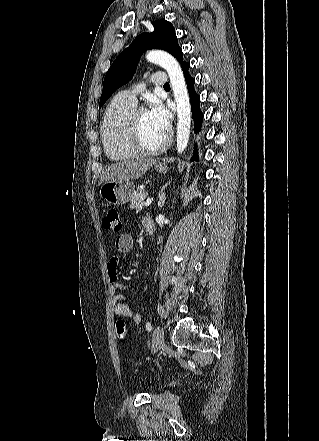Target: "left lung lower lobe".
I'll return each instance as SVG.
<instances>
[{
  "label": "left lung lower lobe",
  "instance_id": "0a47b994",
  "mask_svg": "<svg viewBox=\"0 0 319 441\" xmlns=\"http://www.w3.org/2000/svg\"><path fill=\"white\" fill-rule=\"evenodd\" d=\"M189 67H190V64L187 62H184L183 64H181V68H182L184 76H185V80H186V84H187V88H188V92H189V96H190V100H191V110H192V115L194 118V131L199 132L200 128H201L203 114L201 112L200 105H199L200 98L194 89L195 81L189 75V72H188ZM191 160L198 161L199 160L198 154L194 152V154L191 157Z\"/></svg>",
  "mask_w": 319,
  "mask_h": 441
}]
</instances>
